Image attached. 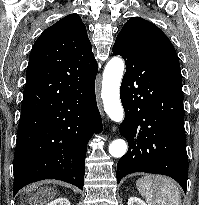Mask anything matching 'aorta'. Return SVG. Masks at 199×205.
Instances as JSON below:
<instances>
[{"label":"aorta","instance_id":"aorta-1","mask_svg":"<svg viewBox=\"0 0 199 205\" xmlns=\"http://www.w3.org/2000/svg\"><path fill=\"white\" fill-rule=\"evenodd\" d=\"M124 72V61L120 57L110 59L104 69L101 98L104 109L111 120L121 122L124 111L119 97L120 83ZM127 151V144L122 139H117L109 145V154L120 158Z\"/></svg>","mask_w":199,"mask_h":205}]
</instances>
